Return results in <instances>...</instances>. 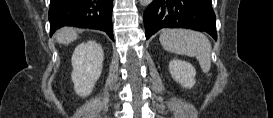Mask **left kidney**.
<instances>
[{
    "label": "left kidney",
    "instance_id": "obj_1",
    "mask_svg": "<svg viewBox=\"0 0 273 118\" xmlns=\"http://www.w3.org/2000/svg\"><path fill=\"white\" fill-rule=\"evenodd\" d=\"M169 70L172 78L183 88H192L195 85V68L182 60L174 59L169 63Z\"/></svg>",
    "mask_w": 273,
    "mask_h": 118
}]
</instances>
